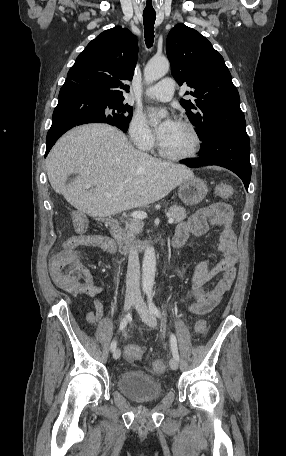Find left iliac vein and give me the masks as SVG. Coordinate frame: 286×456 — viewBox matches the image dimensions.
Segmentation results:
<instances>
[{
	"label": "left iliac vein",
	"mask_w": 286,
	"mask_h": 456,
	"mask_svg": "<svg viewBox=\"0 0 286 456\" xmlns=\"http://www.w3.org/2000/svg\"><path fill=\"white\" fill-rule=\"evenodd\" d=\"M135 308L139 312L143 321L150 327L154 328L157 325V321L153 313L148 309L146 303L141 297L137 298L135 303ZM170 367L172 370H177L179 367V363L175 358H172L169 362Z\"/></svg>",
	"instance_id": "4c4485c4"
}]
</instances>
